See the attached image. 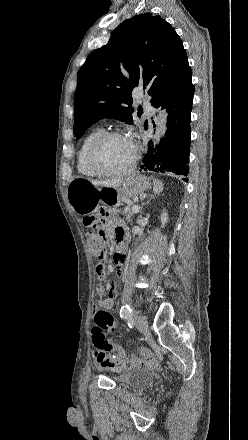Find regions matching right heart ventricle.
Segmentation results:
<instances>
[{
	"instance_id": "obj_1",
	"label": "right heart ventricle",
	"mask_w": 248,
	"mask_h": 440,
	"mask_svg": "<svg viewBox=\"0 0 248 440\" xmlns=\"http://www.w3.org/2000/svg\"><path fill=\"white\" fill-rule=\"evenodd\" d=\"M103 132V129L97 127L91 130L83 139L77 153V170L81 175L86 177H95L97 174L93 172L87 161V153L92 142Z\"/></svg>"
}]
</instances>
